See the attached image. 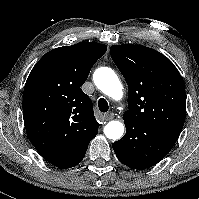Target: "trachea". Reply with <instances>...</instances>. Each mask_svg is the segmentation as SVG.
Wrapping results in <instances>:
<instances>
[{
    "instance_id": "obj_1",
    "label": "trachea",
    "mask_w": 199,
    "mask_h": 199,
    "mask_svg": "<svg viewBox=\"0 0 199 199\" xmlns=\"http://www.w3.org/2000/svg\"><path fill=\"white\" fill-rule=\"evenodd\" d=\"M98 108L101 112H107L109 109L108 103L104 98L98 100Z\"/></svg>"
}]
</instances>
